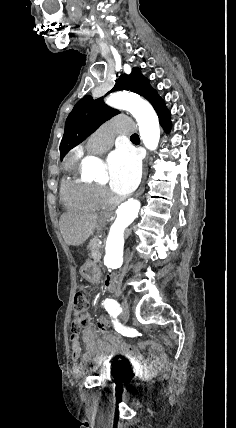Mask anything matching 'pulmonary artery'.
<instances>
[{"instance_id": "obj_1", "label": "pulmonary artery", "mask_w": 236, "mask_h": 428, "mask_svg": "<svg viewBox=\"0 0 236 428\" xmlns=\"http://www.w3.org/2000/svg\"><path fill=\"white\" fill-rule=\"evenodd\" d=\"M112 145V142H111ZM111 145H108L106 143H95V142H89L85 146V151L88 154H98L104 151L105 149L109 148Z\"/></svg>"}]
</instances>
